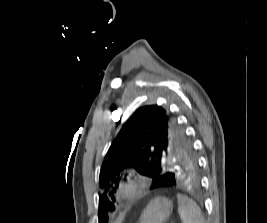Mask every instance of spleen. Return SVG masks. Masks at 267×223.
Returning <instances> with one entry per match:
<instances>
[{"label":"spleen","instance_id":"1","mask_svg":"<svg viewBox=\"0 0 267 223\" xmlns=\"http://www.w3.org/2000/svg\"><path fill=\"white\" fill-rule=\"evenodd\" d=\"M178 213L182 223H204L199 206L185 195L178 194Z\"/></svg>","mask_w":267,"mask_h":223}]
</instances>
